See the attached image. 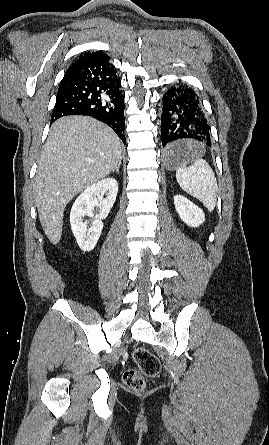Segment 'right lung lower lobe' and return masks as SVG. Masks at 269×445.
<instances>
[{
  "instance_id": "98d812e1",
  "label": "right lung lower lobe",
  "mask_w": 269,
  "mask_h": 445,
  "mask_svg": "<svg viewBox=\"0 0 269 445\" xmlns=\"http://www.w3.org/2000/svg\"><path fill=\"white\" fill-rule=\"evenodd\" d=\"M109 60L104 53L66 71L51 123L66 115L92 116L110 126L126 144L121 81Z\"/></svg>"
}]
</instances>
